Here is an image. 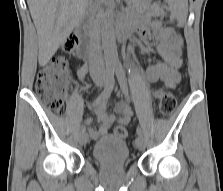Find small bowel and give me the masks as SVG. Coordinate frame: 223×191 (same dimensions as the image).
Masks as SVG:
<instances>
[{
    "mask_svg": "<svg viewBox=\"0 0 223 191\" xmlns=\"http://www.w3.org/2000/svg\"><path fill=\"white\" fill-rule=\"evenodd\" d=\"M152 14L160 12L158 6L151 8ZM129 31H136L140 36L149 39L153 36L156 40V49L162 57V61L147 68L146 75L150 82L161 81L165 87L176 89L181 80L179 69L182 65V46L183 39L174 30L164 28L157 19H146L142 22H135L127 27ZM88 72V65L80 68L78 74L83 79ZM164 90L157 88L154 91V97L160 98ZM107 99L99 101L94 108L97 116L98 127H91L93 120L86 117L83 120L84 126H87L88 133L92 139H98L106 135L113 123L126 125L132 116V111L126 102L120 101L114 105V114H108Z\"/></svg>",
    "mask_w": 223,
    "mask_h": 191,
    "instance_id": "obj_1",
    "label": "small bowel"
}]
</instances>
